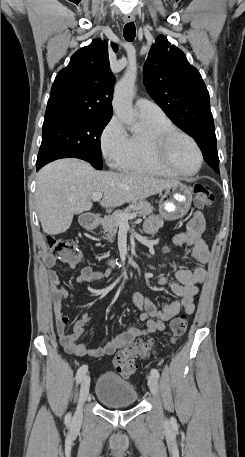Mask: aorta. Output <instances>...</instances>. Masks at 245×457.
<instances>
[{"mask_svg": "<svg viewBox=\"0 0 245 457\" xmlns=\"http://www.w3.org/2000/svg\"><path fill=\"white\" fill-rule=\"evenodd\" d=\"M137 72L133 67L128 68L121 80L116 84L113 96V109L117 117L124 122L132 131L139 130L136 113L132 107L134 86Z\"/></svg>", "mask_w": 245, "mask_h": 457, "instance_id": "1", "label": "aorta"}]
</instances>
